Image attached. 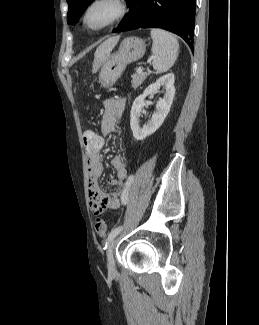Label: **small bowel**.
Returning <instances> with one entry per match:
<instances>
[{
    "label": "small bowel",
    "mask_w": 259,
    "mask_h": 325,
    "mask_svg": "<svg viewBox=\"0 0 259 325\" xmlns=\"http://www.w3.org/2000/svg\"><path fill=\"white\" fill-rule=\"evenodd\" d=\"M125 105L126 101L123 98H111L104 102L100 124L101 134L96 133L97 138L103 139V147L105 144V137L116 130L125 109ZM102 149H87L85 147L89 175V203L92 211L95 213H102L107 209L119 208L124 190L123 182L128 179L126 161L122 156L117 155L111 160L116 177L108 181L116 190L112 193H105L100 190L98 179L104 170L100 155Z\"/></svg>",
    "instance_id": "small-bowel-1"
}]
</instances>
